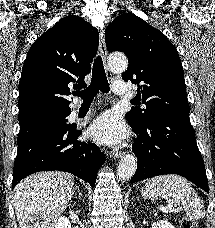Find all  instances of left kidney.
I'll return each mask as SVG.
<instances>
[{"mask_svg":"<svg viewBox=\"0 0 215 228\" xmlns=\"http://www.w3.org/2000/svg\"><path fill=\"white\" fill-rule=\"evenodd\" d=\"M156 226L157 228H174L167 220H160V222H157Z\"/></svg>","mask_w":215,"mask_h":228,"instance_id":"left-kidney-1","label":"left kidney"}]
</instances>
